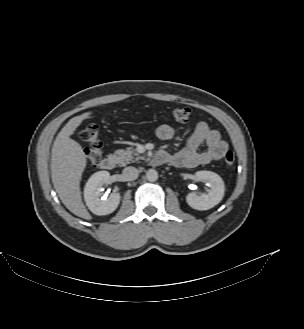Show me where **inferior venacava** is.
I'll list each match as a JSON object with an SVG mask.
<instances>
[{
    "label": "inferior vena cava",
    "mask_w": 304,
    "mask_h": 329,
    "mask_svg": "<svg viewBox=\"0 0 304 329\" xmlns=\"http://www.w3.org/2000/svg\"><path fill=\"white\" fill-rule=\"evenodd\" d=\"M138 173L139 172L135 167L129 166V167L124 168L123 177L126 181H133V180L137 179Z\"/></svg>",
    "instance_id": "inferior-vena-cava-1"
}]
</instances>
